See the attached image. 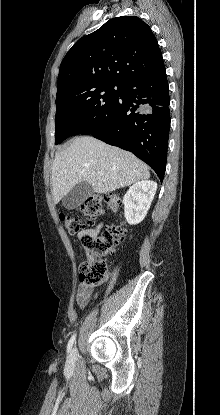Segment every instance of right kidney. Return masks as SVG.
I'll list each match as a JSON object with an SVG mask.
<instances>
[{"label":"right kidney","instance_id":"1","mask_svg":"<svg viewBox=\"0 0 220 415\" xmlns=\"http://www.w3.org/2000/svg\"><path fill=\"white\" fill-rule=\"evenodd\" d=\"M157 190V183L142 180L133 184L123 197L124 216L130 225L140 223L146 216Z\"/></svg>","mask_w":220,"mask_h":415}]
</instances>
